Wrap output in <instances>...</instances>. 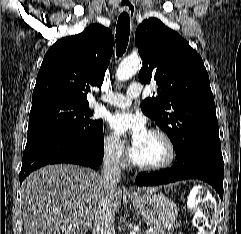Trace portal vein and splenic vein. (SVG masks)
I'll use <instances>...</instances> for the list:
<instances>
[{"label":"portal vein and splenic vein","mask_w":241,"mask_h":234,"mask_svg":"<svg viewBox=\"0 0 241 234\" xmlns=\"http://www.w3.org/2000/svg\"><path fill=\"white\" fill-rule=\"evenodd\" d=\"M148 233H152V231H151V232L149 231V232H147V233H145V234H148Z\"/></svg>","instance_id":"18ae733b"}]
</instances>
